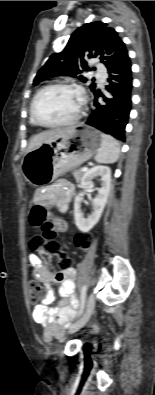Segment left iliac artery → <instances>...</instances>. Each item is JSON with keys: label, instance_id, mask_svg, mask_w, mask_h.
<instances>
[{"label": "left iliac artery", "instance_id": "1", "mask_svg": "<svg viewBox=\"0 0 155 395\" xmlns=\"http://www.w3.org/2000/svg\"><path fill=\"white\" fill-rule=\"evenodd\" d=\"M86 291H87V287L83 286L82 291H81V295H80L81 308H80L79 315L83 312V309H84L85 300H86Z\"/></svg>", "mask_w": 155, "mask_h": 395}]
</instances>
